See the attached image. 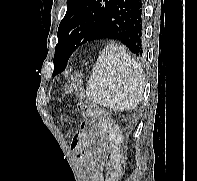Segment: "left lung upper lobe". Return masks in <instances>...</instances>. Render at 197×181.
Returning a JSON list of instances; mask_svg holds the SVG:
<instances>
[{"mask_svg":"<svg viewBox=\"0 0 197 181\" xmlns=\"http://www.w3.org/2000/svg\"><path fill=\"white\" fill-rule=\"evenodd\" d=\"M114 0H67V12L58 28L53 76L67 66L71 54L82 44L92 41L100 21Z\"/></svg>","mask_w":197,"mask_h":181,"instance_id":"1","label":"left lung upper lobe"}]
</instances>
